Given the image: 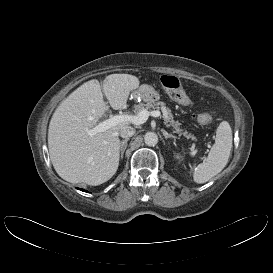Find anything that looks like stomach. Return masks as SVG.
Returning <instances> with one entry per match:
<instances>
[{
  "label": "stomach",
  "mask_w": 273,
  "mask_h": 273,
  "mask_svg": "<svg viewBox=\"0 0 273 273\" xmlns=\"http://www.w3.org/2000/svg\"><path fill=\"white\" fill-rule=\"evenodd\" d=\"M155 97H157L156 92L148 85H142L134 92V98L144 102H154Z\"/></svg>",
  "instance_id": "stomach-1"
}]
</instances>
